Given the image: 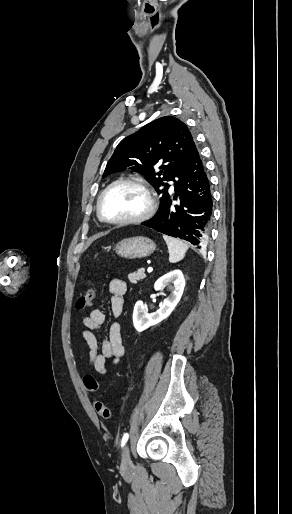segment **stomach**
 Returning a JSON list of instances; mask_svg holds the SVG:
<instances>
[{"instance_id": "obj_1", "label": "stomach", "mask_w": 292, "mask_h": 514, "mask_svg": "<svg viewBox=\"0 0 292 514\" xmlns=\"http://www.w3.org/2000/svg\"><path fill=\"white\" fill-rule=\"evenodd\" d=\"M156 250V244L149 240V238H143V236H136V238H126L121 240L115 246V252L121 258H146L150 256Z\"/></svg>"}]
</instances>
